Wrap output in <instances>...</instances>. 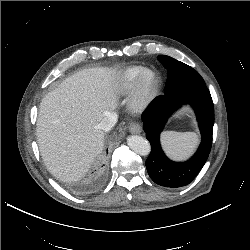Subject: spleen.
<instances>
[{
  "label": "spleen",
  "instance_id": "1",
  "mask_svg": "<svg viewBox=\"0 0 250 250\" xmlns=\"http://www.w3.org/2000/svg\"><path fill=\"white\" fill-rule=\"evenodd\" d=\"M198 141L199 138L195 132L166 131L162 134V143L166 152L176 159L191 154Z\"/></svg>",
  "mask_w": 250,
  "mask_h": 250
}]
</instances>
